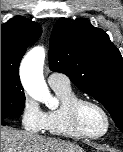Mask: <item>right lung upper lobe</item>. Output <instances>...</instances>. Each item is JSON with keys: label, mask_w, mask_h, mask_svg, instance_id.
Segmentation results:
<instances>
[{"label": "right lung upper lobe", "mask_w": 123, "mask_h": 152, "mask_svg": "<svg viewBox=\"0 0 123 152\" xmlns=\"http://www.w3.org/2000/svg\"><path fill=\"white\" fill-rule=\"evenodd\" d=\"M42 33L41 26L24 17L16 16L1 24V73L19 77V64L29 45Z\"/></svg>", "instance_id": "cb5924a9"}]
</instances>
